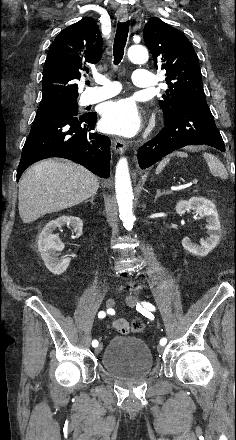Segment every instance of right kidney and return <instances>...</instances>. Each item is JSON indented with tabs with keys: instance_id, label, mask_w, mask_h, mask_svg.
<instances>
[{
	"instance_id": "ca27d5eb",
	"label": "right kidney",
	"mask_w": 236,
	"mask_h": 440,
	"mask_svg": "<svg viewBox=\"0 0 236 440\" xmlns=\"http://www.w3.org/2000/svg\"><path fill=\"white\" fill-rule=\"evenodd\" d=\"M64 225L71 226L77 238L82 235V220L79 217L63 215L47 223L40 233L38 240V250L41 253L45 266L55 275L62 274L68 268L71 261L68 255L59 258V252L64 249V244L57 234H53L56 228Z\"/></svg>"
}]
</instances>
